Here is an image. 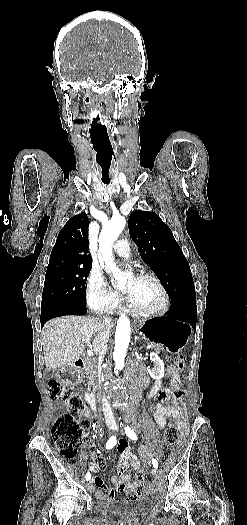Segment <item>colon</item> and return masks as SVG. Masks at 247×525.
Wrapping results in <instances>:
<instances>
[{
	"mask_svg": "<svg viewBox=\"0 0 247 525\" xmlns=\"http://www.w3.org/2000/svg\"><path fill=\"white\" fill-rule=\"evenodd\" d=\"M184 362V355L179 354L175 360V367H169L166 376L174 377L184 372L186 369ZM49 389L53 398L61 400L68 407V412L55 421L52 432L53 441L62 457L74 458L77 456L83 434L89 427L87 404L78 392L61 386L57 381H50ZM177 441V426L170 420L165 428L164 444L166 447H172ZM136 480L141 483L140 496H142L144 474L139 472Z\"/></svg>",
	"mask_w": 247,
	"mask_h": 525,
	"instance_id": "5ec220e1",
	"label": "colon"
}]
</instances>
